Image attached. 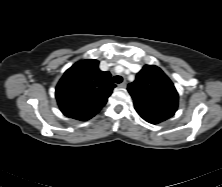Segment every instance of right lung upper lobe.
I'll return each mask as SVG.
<instances>
[{
    "instance_id": "right-lung-upper-lobe-1",
    "label": "right lung upper lobe",
    "mask_w": 222,
    "mask_h": 187,
    "mask_svg": "<svg viewBox=\"0 0 222 187\" xmlns=\"http://www.w3.org/2000/svg\"><path fill=\"white\" fill-rule=\"evenodd\" d=\"M98 64L93 59L79 61L58 82L56 99L67 117L86 121L106 104L116 85L110 80L111 74L101 71Z\"/></svg>"
}]
</instances>
